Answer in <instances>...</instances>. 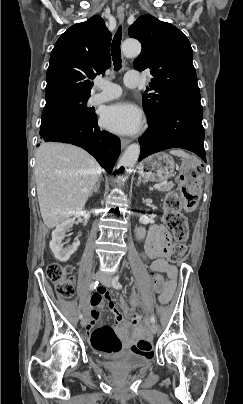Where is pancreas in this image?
Segmentation results:
<instances>
[{
  "mask_svg": "<svg viewBox=\"0 0 243 404\" xmlns=\"http://www.w3.org/2000/svg\"><path fill=\"white\" fill-rule=\"evenodd\" d=\"M175 184L173 182H169V184H166V186H162V188H158V192H168V190H172L174 188Z\"/></svg>",
  "mask_w": 243,
  "mask_h": 404,
  "instance_id": "pancreas-1",
  "label": "pancreas"
}]
</instances>
